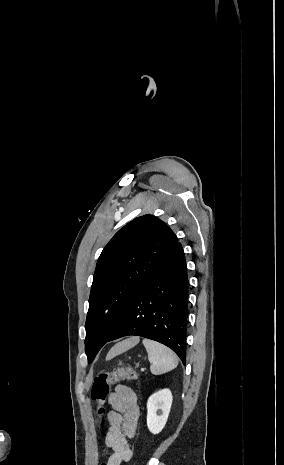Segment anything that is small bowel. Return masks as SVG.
<instances>
[{
	"instance_id": "small-bowel-1",
	"label": "small bowel",
	"mask_w": 284,
	"mask_h": 465,
	"mask_svg": "<svg viewBox=\"0 0 284 465\" xmlns=\"http://www.w3.org/2000/svg\"><path fill=\"white\" fill-rule=\"evenodd\" d=\"M109 404V429L104 441L111 453L104 465H121L133 456L128 440L135 436L140 410L135 392L123 384L118 385L111 394Z\"/></svg>"
}]
</instances>
